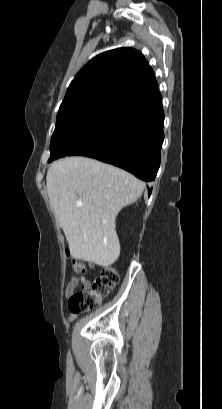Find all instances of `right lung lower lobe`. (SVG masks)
<instances>
[{"label": "right lung lower lobe", "mask_w": 222, "mask_h": 409, "mask_svg": "<svg viewBox=\"0 0 222 409\" xmlns=\"http://www.w3.org/2000/svg\"><path fill=\"white\" fill-rule=\"evenodd\" d=\"M163 124L161 95L124 106L114 116L99 147L85 156L123 168L150 183L160 166Z\"/></svg>", "instance_id": "obj_1"}]
</instances>
